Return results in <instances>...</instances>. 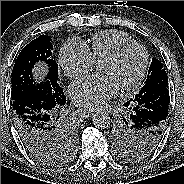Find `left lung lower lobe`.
Here are the masks:
<instances>
[{
	"instance_id": "1",
	"label": "left lung lower lobe",
	"mask_w": 184,
	"mask_h": 184,
	"mask_svg": "<svg viewBox=\"0 0 184 184\" xmlns=\"http://www.w3.org/2000/svg\"><path fill=\"white\" fill-rule=\"evenodd\" d=\"M160 96L157 95L159 93ZM169 89L158 88L143 94H136L124 106L132 109L131 116L134 123L143 129H148L160 143L166 130L168 117ZM139 152L149 150V147H140ZM143 150V151H142Z\"/></svg>"
}]
</instances>
